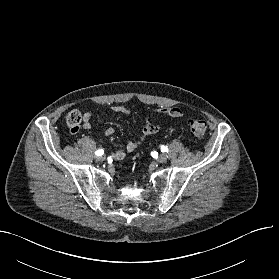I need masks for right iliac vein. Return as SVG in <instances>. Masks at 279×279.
<instances>
[{"label":"right iliac vein","mask_w":279,"mask_h":279,"mask_svg":"<svg viewBox=\"0 0 279 279\" xmlns=\"http://www.w3.org/2000/svg\"><path fill=\"white\" fill-rule=\"evenodd\" d=\"M96 160L97 161H104L105 160V156H103V155L98 156V157H96Z\"/></svg>","instance_id":"1"}]
</instances>
